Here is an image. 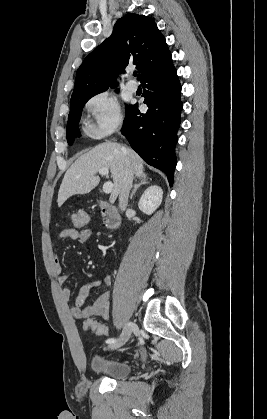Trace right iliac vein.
Returning a JSON list of instances; mask_svg holds the SVG:
<instances>
[{"instance_id": "1", "label": "right iliac vein", "mask_w": 267, "mask_h": 419, "mask_svg": "<svg viewBox=\"0 0 267 419\" xmlns=\"http://www.w3.org/2000/svg\"><path fill=\"white\" fill-rule=\"evenodd\" d=\"M133 327L134 325L132 322H127L123 328L122 334L115 343L109 345V349H117L123 346L129 340Z\"/></svg>"}]
</instances>
